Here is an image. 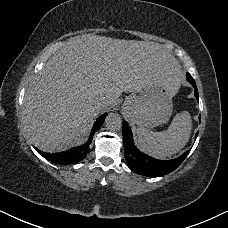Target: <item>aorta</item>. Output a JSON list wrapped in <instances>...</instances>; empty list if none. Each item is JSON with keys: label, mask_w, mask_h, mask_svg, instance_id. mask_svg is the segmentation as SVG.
<instances>
[{"label": "aorta", "mask_w": 228, "mask_h": 228, "mask_svg": "<svg viewBox=\"0 0 228 228\" xmlns=\"http://www.w3.org/2000/svg\"><path fill=\"white\" fill-rule=\"evenodd\" d=\"M105 124L108 130L118 131L121 129L122 120L121 117L116 113H110L105 120Z\"/></svg>", "instance_id": "762f6f07"}]
</instances>
